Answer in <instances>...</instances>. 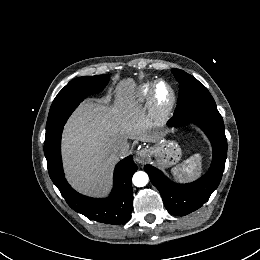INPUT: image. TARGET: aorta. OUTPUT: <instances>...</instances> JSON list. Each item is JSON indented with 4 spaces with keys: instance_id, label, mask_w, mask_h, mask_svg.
<instances>
[{
    "instance_id": "obj_1",
    "label": "aorta",
    "mask_w": 260,
    "mask_h": 260,
    "mask_svg": "<svg viewBox=\"0 0 260 260\" xmlns=\"http://www.w3.org/2000/svg\"><path fill=\"white\" fill-rule=\"evenodd\" d=\"M149 181L148 175L143 171H138L133 175L132 182L136 187H144Z\"/></svg>"
}]
</instances>
